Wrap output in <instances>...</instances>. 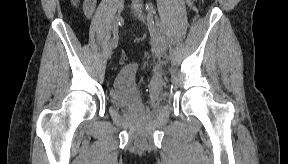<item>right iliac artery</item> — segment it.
Listing matches in <instances>:
<instances>
[{
	"instance_id": "obj_1",
	"label": "right iliac artery",
	"mask_w": 288,
	"mask_h": 164,
	"mask_svg": "<svg viewBox=\"0 0 288 164\" xmlns=\"http://www.w3.org/2000/svg\"><path fill=\"white\" fill-rule=\"evenodd\" d=\"M117 44H118V26H116V28L113 29V38L111 42L112 48H116Z\"/></svg>"
}]
</instances>
